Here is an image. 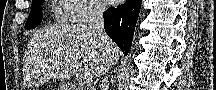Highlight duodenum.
<instances>
[{
    "mask_svg": "<svg viewBox=\"0 0 216 90\" xmlns=\"http://www.w3.org/2000/svg\"><path fill=\"white\" fill-rule=\"evenodd\" d=\"M71 90H86V87H71Z\"/></svg>",
    "mask_w": 216,
    "mask_h": 90,
    "instance_id": "obj_1",
    "label": "duodenum"
}]
</instances>
